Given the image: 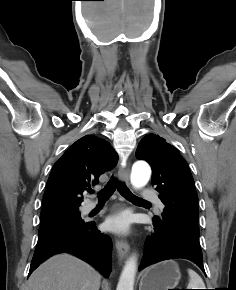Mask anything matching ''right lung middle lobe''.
I'll use <instances>...</instances> for the list:
<instances>
[{
  "mask_svg": "<svg viewBox=\"0 0 236 290\" xmlns=\"http://www.w3.org/2000/svg\"><path fill=\"white\" fill-rule=\"evenodd\" d=\"M40 222L39 235L84 223L78 208L41 212Z\"/></svg>",
  "mask_w": 236,
  "mask_h": 290,
  "instance_id": "obj_1",
  "label": "right lung middle lobe"
}]
</instances>
